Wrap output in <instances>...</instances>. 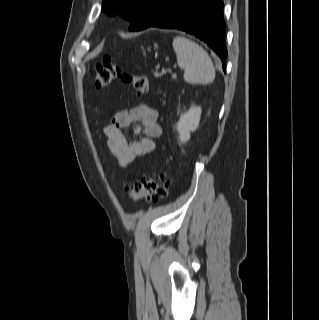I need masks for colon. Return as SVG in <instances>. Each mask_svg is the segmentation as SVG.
I'll return each mask as SVG.
<instances>
[{"instance_id": "colon-1", "label": "colon", "mask_w": 319, "mask_h": 320, "mask_svg": "<svg viewBox=\"0 0 319 320\" xmlns=\"http://www.w3.org/2000/svg\"><path fill=\"white\" fill-rule=\"evenodd\" d=\"M120 77L126 83L131 84L138 94H145L149 90L147 76L143 74H123L120 67L114 64L109 57H105L96 65L94 85L96 88H104ZM169 182L168 174H153L142 178L129 187L127 193L132 200L157 201L167 197Z\"/></svg>"}]
</instances>
